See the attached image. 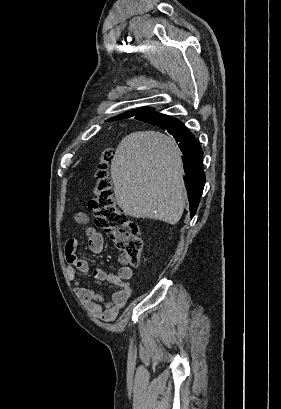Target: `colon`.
Returning <instances> with one entry per match:
<instances>
[{
	"instance_id": "obj_1",
	"label": "colon",
	"mask_w": 281,
	"mask_h": 409,
	"mask_svg": "<svg viewBox=\"0 0 281 409\" xmlns=\"http://www.w3.org/2000/svg\"><path fill=\"white\" fill-rule=\"evenodd\" d=\"M111 156L112 152L105 150L97 161L96 184L93 189L91 208L95 225L112 236L122 261L136 266L142 250L140 229L116 205L113 182L108 170Z\"/></svg>"
}]
</instances>
